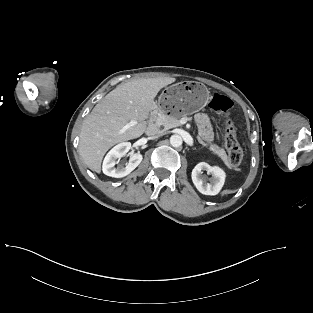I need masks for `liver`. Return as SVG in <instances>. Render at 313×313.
Segmentation results:
<instances>
[{"instance_id": "1", "label": "liver", "mask_w": 313, "mask_h": 313, "mask_svg": "<svg viewBox=\"0 0 313 313\" xmlns=\"http://www.w3.org/2000/svg\"><path fill=\"white\" fill-rule=\"evenodd\" d=\"M175 80L160 77L129 81L109 92L93 108L83 122L79 142L80 155L92 171L101 172L103 157L112 146L145 132V120L154 107L156 95ZM131 121L137 124L120 133Z\"/></svg>"}]
</instances>
